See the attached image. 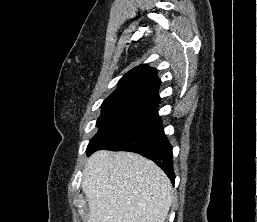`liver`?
<instances>
[{
	"label": "liver",
	"instance_id": "6515ba94",
	"mask_svg": "<svg viewBox=\"0 0 257 222\" xmlns=\"http://www.w3.org/2000/svg\"><path fill=\"white\" fill-rule=\"evenodd\" d=\"M88 222H165L172 185L154 162L131 152L100 150L83 171Z\"/></svg>",
	"mask_w": 257,
	"mask_h": 222
}]
</instances>
